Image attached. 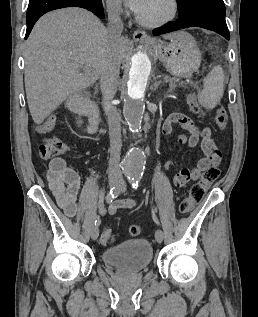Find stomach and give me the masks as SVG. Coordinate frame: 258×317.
I'll return each instance as SVG.
<instances>
[{"label":"stomach","instance_id":"0dacf381","mask_svg":"<svg viewBox=\"0 0 258 317\" xmlns=\"http://www.w3.org/2000/svg\"><path fill=\"white\" fill-rule=\"evenodd\" d=\"M158 58L170 74L188 78L200 66L201 52L192 36L185 30H178L170 42L150 40Z\"/></svg>","mask_w":258,"mask_h":317}]
</instances>
